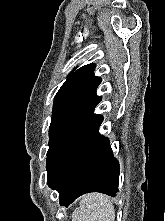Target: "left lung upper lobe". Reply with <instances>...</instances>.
I'll list each match as a JSON object with an SVG mask.
<instances>
[{"mask_svg": "<svg viewBox=\"0 0 165 221\" xmlns=\"http://www.w3.org/2000/svg\"><path fill=\"white\" fill-rule=\"evenodd\" d=\"M95 64L85 65L70 73L54 98L49 128L50 153L57 141L101 101L96 90L101 78L94 76Z\"/></svg>", "mask_w": 165, "mask_h": 221, "instance_id": "left-lung-upper-lobe-1", "label": "left lung upper lobe"}]
</instances>
